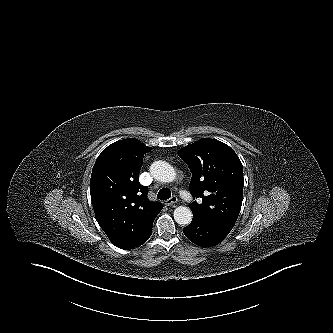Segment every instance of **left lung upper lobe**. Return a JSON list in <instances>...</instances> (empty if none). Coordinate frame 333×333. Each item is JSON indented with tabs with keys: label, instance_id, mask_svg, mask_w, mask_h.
I'll list each match as a JSON object with an SVG mask.
<instances>
[{
	"label": "left lung upper lobe",
	"instance_id": "1",
	"mask_svg": "<svg viewBox=\"0 0 333 333\" xmlns=\"http://www.w3.org/2000/svg\"><path fill=\"white\" fill-rule=\"evenodd\" d=\"M192 177L190 192L202 203L189 204L193 214L232 229L242 206L243 167L226 144L200 139L178 151Z\"/></svg>",
	"mask_w": 333,
	"mask_h": 333
}]
</instances>
